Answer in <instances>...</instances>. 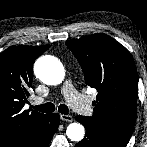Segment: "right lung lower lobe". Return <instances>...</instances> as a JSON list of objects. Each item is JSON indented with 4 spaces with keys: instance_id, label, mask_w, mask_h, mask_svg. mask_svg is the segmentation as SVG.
<instances>
[{
    "instance_id": "right-lung-lower-lobe-1",
    "label": "right lung lower lobe",
    "mask_w": 147,
    "mask_h": 147,
    "mask_svg": "<svg viewBox=\"0 0 147 147\" xmlns=\"http://www.w3.org/2000/svg\"><path fill=\"white\" fill-rule=\"evenodd\" d=\"M59 123L58 114H48L42 123L2 147H48Z\"/></svg>"
}]
</instances>
